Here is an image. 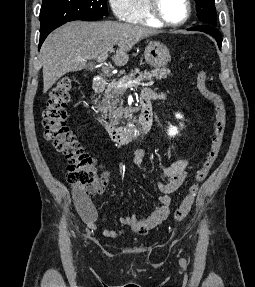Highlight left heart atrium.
<instances>
[{
  "label": "left heart atrium",
  "mask_w": 255,
  "mask_h": 287,
  "mask_svg": "<svg viewBox=\"0 0 255 287\" xmlns=\"http://www.w3.org/2000/svg\"><path fill=\"white\" fill-rule=\"evenodd\" d=\"M113 33H125V32H113ZM113 39H131V38H113ZM115 48H133V47H115Z\"/></svg>",
  "instance_id": "39dd6f15"
}]
</instances>
